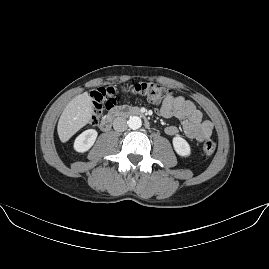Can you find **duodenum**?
<instances>
[{
    "label": "duodenum",
    "mask_w": 269,
    "mask_h": 269,
    "mask_svg": "<svg viewBox=\"0 0 269 269\" xmlns=\"http://www.w3.org/2000/svg\"><path fill=\"white\" fill-rule=\"evenodd\" d=\"M126 116H139L143 117L145 120V126L150 127V122L146 118V115L144 112H142L139 108L137 107H132V106H119V107H114L112 108L101 120L100 122V128L103 131H108L111 129L112 124L115 119L120 118V117H126Z\"/></svg>",
    "instance_id": "410a0bca"
}]
</instances>
